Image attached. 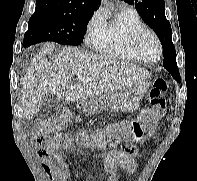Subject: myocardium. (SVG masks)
Listing matches in <instances>:
<instances>
[{
  "instance_id": "f54148a6",
  "label": "myocardium",
  "mask_w": 197,
  "mask_h": 181,
  "mask_svg": "<svg viewBox=\"0 0 197 181\" xmlns=\"http://www.w3.org/2000/svg\"><path fill=\"white\" fill-rule=\"evenodd\" d=\"M149 35L151 36L157 46H158V56L155 60H148L144 57L142 51H141V47H140V42L143 39L144 36ZM131 49L134 52V54L136 55V57L143 63L145 64H155L157 63L161 57H162V53H163V48H162V44L161 41L158 37V35L150 28L147 27H141L139 28L137 31L134 32V34L132 35L131 38Z\"/></svg>"
}]
</instances>
